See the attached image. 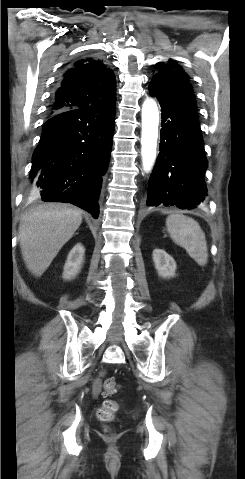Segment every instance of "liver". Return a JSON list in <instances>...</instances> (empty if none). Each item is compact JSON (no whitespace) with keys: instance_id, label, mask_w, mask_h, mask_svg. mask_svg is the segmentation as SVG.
Instances as JSON below:
<instances>
[{"instance_id":"1","label":"liver","mask_w":245,"mask_h":479,"mask_svg":"<svg viewBox=\"0 0 245 479\" xmlns=\"http://www.w3.org/2000/svg\"><path fill=\"white\" fill-rule=\"evenodd\" d=\"M82 223L79 210L61 204L31 209L19 225V242L28 270L40 277Z\"/></svg>"}]
</instances>
